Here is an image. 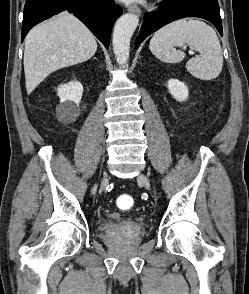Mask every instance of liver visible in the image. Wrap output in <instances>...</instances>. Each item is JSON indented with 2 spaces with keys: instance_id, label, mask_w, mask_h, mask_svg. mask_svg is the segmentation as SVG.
I'll use <instances>...</instances> for the list:
<instances>
[{
  "instance_id": "obj_1",
  "label": "liver",
  "mask_w": 249,
  "mask_h": 294,
  "mask_svg": "<svg viewBox=\"0 0 249 294\" xmlns=\"http://www.w3.org/2000/svg\"><path fill=\"white\" fill-rule=\"evenodd\" d=\"M96 51L94 35L66 11L35 26L25 39L27 93H32L54 71L87 61Z\"/></svg>"
}]
</instances>
